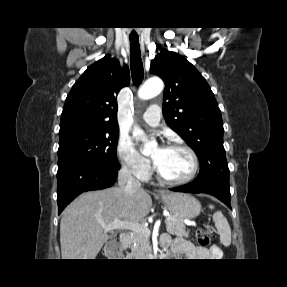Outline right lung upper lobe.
Returning a JSON list of instances; mask_svg holds the SVG:
<instances>
[{
  "label": "right lung upper lobe",
  "instance_id": "cb5924a9",
  "mask_svg": "<svg viewBox=\"0 0 287 287\" xmlns=\"http://www.w3.org/2000/svg\"><path fill=\"white\" fill-rule=\"evenodd\" d=\"M129 81L128 67L109 55L89 66L66 98L60 129L80 123L118 128L116 95Z\"/></svg>",
  "mask_w": 287,
  "mask_h": 287
}]
</instances>
